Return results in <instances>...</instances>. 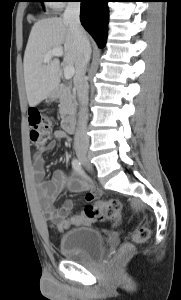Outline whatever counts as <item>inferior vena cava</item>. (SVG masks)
Here are the masks:
<instances>
[{
  "instance_id": "obj_1",
  "label": "inferior vena cava",
  "mask_w": 181,
  "mask_h": 300,
  "mask_svg": "<svg viewBox=\"0 0 181 300\" xmlns=\"http://www.w3.org/2000/svg\"><path fill=\"white\" fill-rule=\"evenodd\" d=\"M79 15L80 3L69 2L64 11L63 20L69 24L77 49L74 85L77 90L80 112L78 128L74 138V149L76 152L86 150L89 144V138L86 133L89 85L86 80L85 73L87 64L89 63L91 57L90 42L81 26Z\"/></svg>"
}]
</instances>
